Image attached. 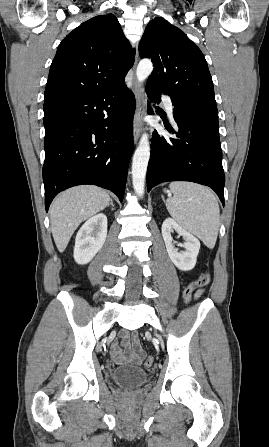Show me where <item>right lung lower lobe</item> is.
I'll use <instances>...</instances> for the list:
<instances>
[{"mask_svg": "<svg viewBox=\"0 0 269 447\" xmlns=\"http://www.w3.org/2000/svg\"><path fill=\"white\" fill-rule=\"evenodd\" d=\"M135 107L124 79L92 93L45 99L46 211L60 191L80 184L109 189L122 202Z\"/></svg>", "mask_w": 269, "mask_h": 447, "instance_id": "1", "label": "right lung lower lobe"}]
</instances>
